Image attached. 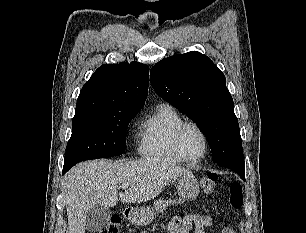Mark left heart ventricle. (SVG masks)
Here are the masks:
<instances>
[{
  "label": "left heart ventricle",
  "instance_id": "left-heart-ventricle-1",
  "mask_svg": "<svg viewBox=\"0 0 306 233\" xmlns=\"http://www.w3.org/2000/svg\"><path fill=\"white\" fill-rule=\"evenodd\" d=\"M181 147L188 158H197L204 151L201 134L193 127L187 128L182 134Z\"/></svg>",
  "mask_w": 306,
  "mask_h": 233
}]
</instances>
